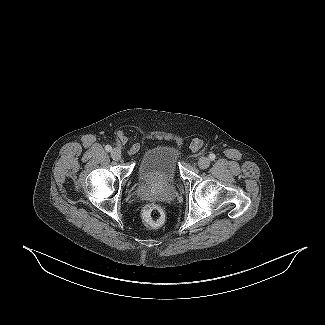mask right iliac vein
<instances>
[{
	"label": "right iliac vein",
	"mask_w": 325,
	"mask_h": 325,
	"mask_svg": "<svg viewBox=\"0 0 325 325\" xmlns=\"http://www.w3.org/2000/svg\"><path fill=\"white\" fill-rule=\"evenodd\" d=\"M121 150L118 149V148H115L111 151V157L114 159V160H120L121 159Z\"/></svg>",
	"instance_id": "right-iliac-vein-1"
}]
</instances>
